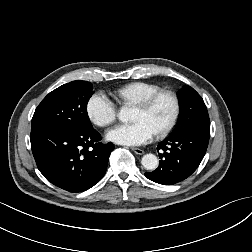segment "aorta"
Masks as SVG:
<instances>
[{
	"mask_svg": "<svg viewBox=\"0 0 252 252\" xmlns=\"http://www.w3.org/2000/svg\"><path fill=\"white\" fill-rule=\"evenodd\" d=\"M132 118V109L127 106L121 107L118 113V119L122 122H128ZM142 166L147 170H155L158 167V158L154 154H146L141 160Z\"/></svg>",
	"mask_w": 252,
	"mask_h": 252,
	"instance_id": "obj_1",
	"label": "aorta"
}]
</instances>
